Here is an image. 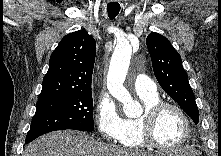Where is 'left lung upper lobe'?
<instances>
[{
  "instance_id": "5c2ea615",
  "label": "left lung upper lobe",
  "mask_w": 221,
  "mask_h": 156,
  "mask_svg": "<svg viewBox=\"0 0 221 156\" xmlns=\"http://www.w3.org/2000/svg\"><path fill=\"white\" fill-rule=\"evenodd\" d=\"M146 44L151 56L154 74L159 84L192 118L194 123L198 124V107L189 85L188 75L182 66L180 54L166 37L156 32H152L147 36Z\"/></svg>"
}]
</instances>
